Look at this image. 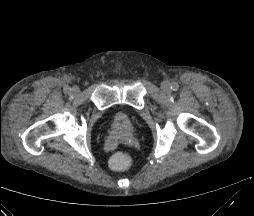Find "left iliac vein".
<instances>
[{
  "label": "left iliac vein",
  "mask_w": 254,
  "mask_h": 216,
  "mask_svg": "<svg viewBox=\"0 0 254 216\" xmlns=\"http://www.w3.org/2000/svg\"><path fill=\"white\" fill-rule=\"evenodd\" d=\"M161 88H162L163 92H165V93H170V91H171L170 83L168 81H164L161 84Z\"/></svg>",
  "instance_id": "4c4485c4"
}]
</instances>
